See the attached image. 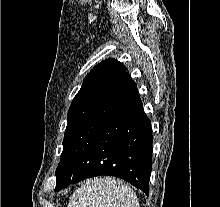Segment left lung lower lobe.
I'll return each instance as SVG.
<instances>
[{
	"label": "left lung lower lobe",
	"instance_id": "obj_1",
	"mask_svg": "<svg viewBox=\"0 0 220 207\" xmlns=\"http://www.w3.org/2000/svg\"><path fill=\"white\" fill-rule=\"evenodd\" d=\"M152 130L135 82L125 72L74 132L61 154L55 191L109 175L149 194Z\"/></svg>",
	"mask_w": 220,
	"mask_h": 207
}]
</instances>
